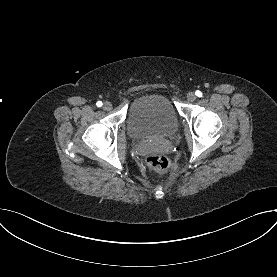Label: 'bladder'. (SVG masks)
<instances>
[{"label":"bladder","instance_id":"obj_1","mask_svg":"<svg viewBox=\"0 0 277 277\" xmlns=\"http://www.w3.org/2000/svg\"><path fill=\"white\" fill-rule=\"evenodd\" d=\"M127 124L133 138L152 139L175 134L179 120L167 97L151 94L141 96L132 102L128 110Z\"/></svg>","mask_w":277,"mask_h":277}]
</instances>
